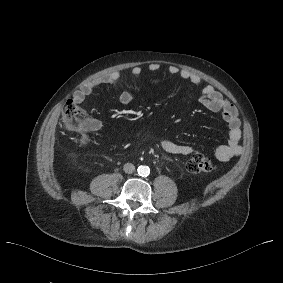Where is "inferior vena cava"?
<instances>
[{
  "instance_id": "602c4592",
  "label": "inferior vena cava",
  "mask_w": 283,
  "mask_h": 283,
  "mask_svg": "<svg viewBox=\"0 0 283 283\" xmlns=\"http://www.w3.org/2000/svg\"><path fill=\"white\" fill-rule=\"evenodd\" d=\"M123 170L126 172V173H133L135 171V166L132 164V163H126L124 166H123Z\"/></svg>"
}]
</instances>
